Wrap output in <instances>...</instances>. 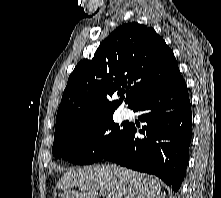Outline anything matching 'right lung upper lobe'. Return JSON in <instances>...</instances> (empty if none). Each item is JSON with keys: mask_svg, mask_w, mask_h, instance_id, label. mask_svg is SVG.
Returning a JSON list of instances; mask_svg holds the SVG:
<instances>
[{"mask_svg": "<svg viewBox=\"0 0 221 198\" xmlns=\"http://www.w3.org/2000/svg\"><path fill=\"white\" fill-rule=\"evenodd\" d=\"M178 72L172 50L154 29L138 23L118 27L94 58L80 61L69 76L54 138L113 115L126 92L125 101L134 110ZM114 96L120 99L110 101Z\"/></svg>", "mask_w": 221, "mask_h": 198, "instance_id": "cb5924a9", "label": "right lung upper lobe"}]
</instances>
